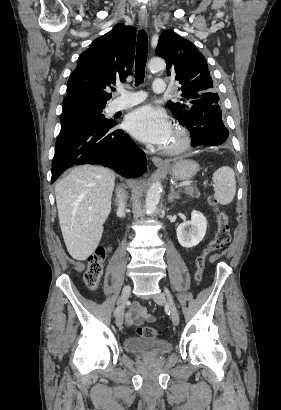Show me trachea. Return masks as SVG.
I'll return each instance as SVG.
<instances>
[{
    "label": "trachea",
    "mask_w": 281,
    "mask_h": 410,
    "mask_svg": "<svg viewBox=\"0 0 281 410\" xmlns=\"http://www.w3.org/2000/svg\"><path fill=\"white\" fill-rule=\"evenodd\" d=\"M148 38L144 30L138 34L136 59H135V83L139 85L143 83L145 76V66L147 62Z\"/></svg>",
    "instance_id": "obj_1"
}]
</instances>
